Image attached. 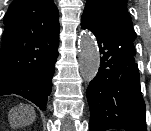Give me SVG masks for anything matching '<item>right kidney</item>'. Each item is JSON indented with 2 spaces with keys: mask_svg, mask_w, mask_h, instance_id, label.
<instances>
[{
  "mask_svg": "<svg viewBox=\"0 0 151 131\" xmlns=\"http://www.w3.org/2000/svg\"><path fill=\"white\" fill-rule=\"evenodd\" d=\"M27 110H28V109H27ZM27 110H26V112H25L26 114H27ZM27 118H28V115H27ZM27 118L24 120V123H26Z\"/></svg>",
  "mask_w": 151,
  "mask_h": 131,
  "instance_id": "1",
  "label": "right kidney"
}]
</instances>
